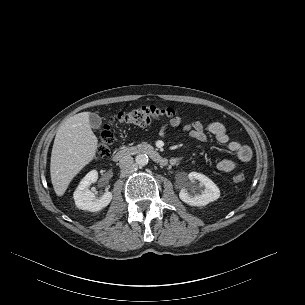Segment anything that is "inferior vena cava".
I'll return each instance as SVG.
<instances>
[{
	"label": "inferior vena cava",
	"instance_id": "inferior-vena-cava-1",
	"mask_svg": "<svg viewBox=\"0 0 305 305\" xmlns=\"http://www.w3.org/2000/svg\"><path fill=\"white\" fill-rule=\"evenodd\" d=\"M133 163H134L133 157L130 155H125L120 158L119 167L121 169H131L133 168Z\"/></svg>",
	"mask_w": 305,
	"mask_h": 305
}]
</instances>
